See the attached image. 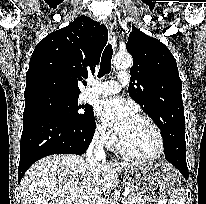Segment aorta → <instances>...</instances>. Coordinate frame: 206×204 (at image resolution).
Returning a JSON list of instances; mask_svg holds the SVG:
<instances>
[{
    "mask_svg": "<svg viewBox=\"0 0 206 204\" xmlns=\"http://www.w3.org/2000/svg\"><path fill=\"white\" fill-rule=\"evenodd\" d=\"M113 64L117 69H125L131 66L132 58L128 53H117L113 59Z\"/></svg>",
    "mask_w": 206,
    "mask_h": 204,
    "instance_id": "762f6f07",
    "label": "aorta"
}]
</instances>
